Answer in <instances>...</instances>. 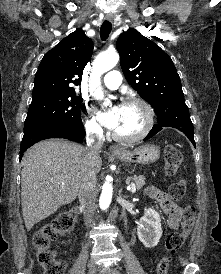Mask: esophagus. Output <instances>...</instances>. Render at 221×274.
I'll list each match as a JSON object with an SVG mask.
<instances>
[{
    "label": "esophagus",
    "instance_id": "34e87169",
    "mask_svg": "<svg viewBox=\"0 0 221 274\" xmlns=\"http://www.w3.org/2000/svg\"><path fill=\"white\" fill-rule=\"evenodd\" d=\"M106 19L108 21H112L114 19V16L112 14H108V15H106ZM109 151L111 153H120L121 149L116 145H112V146L109 147Z\"/></svg>",
    "mask_w": 221,
    "mask_h": 274
}]
</instances>
